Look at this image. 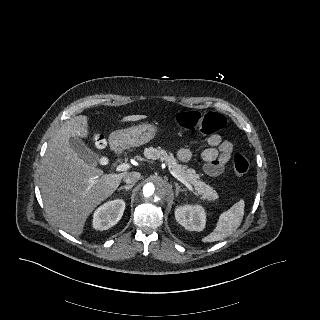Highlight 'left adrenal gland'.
I'll use <instances>...</instances> for the list:
<instances>
[{
  "mask_svg": "<svg viewBox=\"0 0 320 320\" xmlns=\"http://www.w3.org/2000/svg\"><path fill=\"white\" fill-rule=\"evenodd\" d=\"M175 186H176V195L178 196L179 192H186L185 189H181L180 186L175 183Z\"/></svg>",
  "mask_w": 320,
  "mask_h": 320,
  "instance_id": "a2214340",
  "label": "left adrenal gland"
}]
</instances>
